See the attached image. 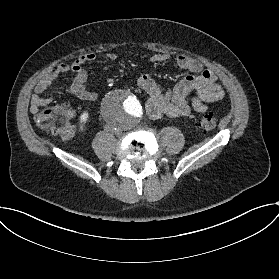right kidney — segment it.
<instances>
[{
	"instance_id": "right-kidney-1",
	"label": "right kidney",
	"mask_w": 279,
	"mask_h": 279,
	"mask_svg": "<svg viewBox=\"0 0 279 279\" xmlns=\"http://www.w3.org/2000/svg\"><path fill=\"white\" fill-rule=\"evenodd\" d=\"M90 121L89 110H84L78 117L77 127L78 132L84 133L86 131V124Z\"/></svg>"
}]
</instances>
